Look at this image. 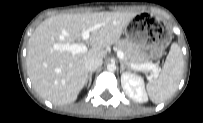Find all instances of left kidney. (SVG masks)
Returning a JSON list of instances; mask_svg holds the SVG:
<instances>
[{
    "mask_svg": "<svg viewBox=\"0 0 203 123\" xmlns=\"http://www.w3.org/2000/svg\"><path fill=\"white\" fill-rule=\"evenodd\" d=\"M121 85L125 94L132 100L144 103L148 97L144 87L143 79L131 72H124L121 75Z\"/></svg>",
    "mask_w": 203,
    "mask_h": 123,
    "instance_id": "obj_1",
    "label": "left kidney"
}]
</instances>
